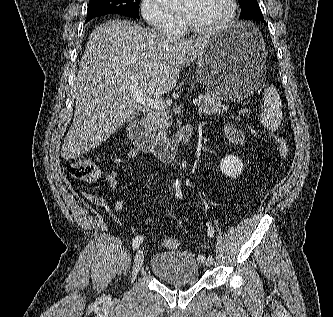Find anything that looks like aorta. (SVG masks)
Instances as JSON below:
<instances>
[{"label": "aorta", "mask_w": 333, "mask_h": 317, "mask_svg": "<svg viewBox=\"0 0 333 317\" xmlns=\"http://www.w3.org/2000/svg\"><path fill=\"white\" fill-rule=\"evenodd\" d=\"M157 2L167 9H173L181 5L184 0H157ZM176 183H180L179 179H177Z\"/></svg>", "instance_id": "aorta-1"}]
</instances>
